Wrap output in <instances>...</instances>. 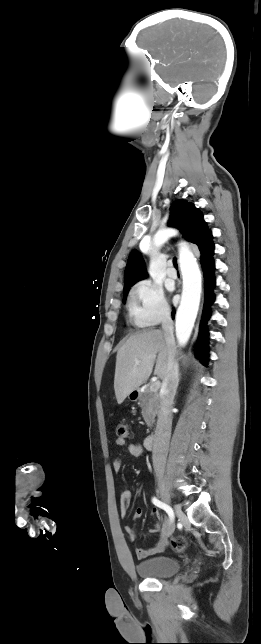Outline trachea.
Returning <instances> with one entry per match:
<instances>
[{"label": "trachea", "instance_id": "3493384b", "mask_svg": "<svg viewBox=\"0 0 261 644\" xmlns=\"http://www.w3.org/2000/svg\"><path fill=\"white\" fill-rule=\"evenodd\" d=\"M173 264H174L175 268H178V264H177V259H176V258H174V259H173Z\"/></svg>", "mask_w": 261, "mask_h": 644}]
</instances>
